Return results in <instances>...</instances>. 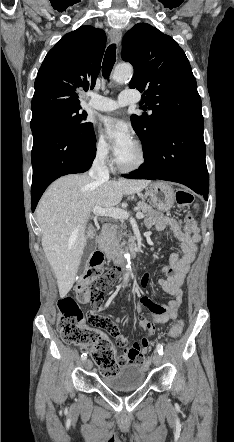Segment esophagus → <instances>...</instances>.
I'll list each match as a JSON object with an SVG mask.
<instances>
[{
    "label": "esophagus",
    "instance_id": "34e87169",
    "mask_svg": "<svg viewBox=\"0 0 234 442\" xmlns=\"http://www.w3.org/2000/svg\"><path fill=\"white\" fill-rule=\"evenodd\" d=\"M110 37L114 43L119 44L121 41L122 32L118 29H112L110 31Z\"/></svg>",
    "mask_w": 234,
    "mask_h": 442
}]
</instances>
